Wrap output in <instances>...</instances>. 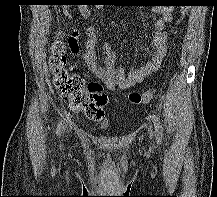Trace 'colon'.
<instances>
[{
    "mask_svg": "<svg viewBox=\"0 0 217 197\" xmlns=\"http://www.w3.org/2000/svg\"><path fill=\"white\" fill-rule=\"evenodd\" d=\"M188 9V5L182 6L179 16L172 24L173 32L178 30ZM66 50L63 32L59 30L49 50V66L57 91L72 110L82 112L89 119L102 120L108 101L103 87L97 82L86 83L80 75L73 73L67 66ZM153 97L152 90L133 92L129 95V101L133 105H140L150 102Z\"/></svg>",
    "mask_w": 217,
    "mask_h": 197,
    "instance_id": "5ec220e1",
    "label": "colon"
}]
</instances>
